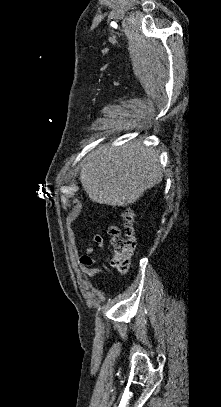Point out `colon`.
Segmentation results:
<instances>
[{"mask_svg":"<svg viewBox=\"0 0 221 407\" xmlns=\"http://www.w3.org/2000/svg\"><path fill=\"white\" fill-rule=\"evenodd\" d=\"M122 217L124 219L122 228L113 226L109 229L113 246L110 263L121 272H126L135 246V238L132 214L125 211Z\"/></svg>","mask_w":221,"mask_h":407,"instance_id":"obj_1","label":"colon"}]
</instances>
